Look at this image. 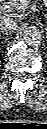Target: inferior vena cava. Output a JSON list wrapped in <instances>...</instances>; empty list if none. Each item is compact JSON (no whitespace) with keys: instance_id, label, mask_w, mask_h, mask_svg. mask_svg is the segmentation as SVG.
Listing matches in <instances>:
<instances>
[{"instance_id":"inferior-vena-cava-1","label":"inferior vena cava","mask_w":47,"mask_h":129,"mask_svg":"<svg viewBox=\"0 0 47 129\" xmlns=\"http://www.w3.org/2000/svg\"><path fill=\"white\" fill-rule=\"evenodd\" d=\"M17 28V23L14 19L9 17H3L0 21V29L13 31Z\"/></svg>"}]
</instances>
